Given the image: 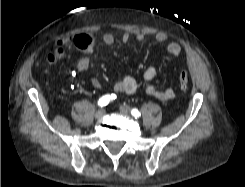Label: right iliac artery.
I'll list each match as a JSON object with an SVG mask.
<instances>
[{
	"mask_svg": "<svg viewBox=\"0 0 245 187\" xmlns=\"http://www.w3.org/2000/svg\"><path fill=\"white\" fill-rule=\"evenodd\" d=\"M116 99V95L115 94H107V95H104L102 96L99 101H98V105L100 107H103V106H106L110 101Z\"/></svg>",
	"mask_w": 245,
	"mask_h": 187,
	"instance_id": "obj_1",
	"label": "right iliac artery"
}]
</instances>
